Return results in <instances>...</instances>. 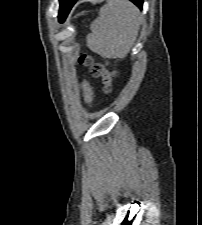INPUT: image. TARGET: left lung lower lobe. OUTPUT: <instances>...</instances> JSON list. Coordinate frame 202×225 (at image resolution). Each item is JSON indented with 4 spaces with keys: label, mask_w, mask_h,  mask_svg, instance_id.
Instances as JSON below:
<instances>
[{
    "label": "left lung lower lobe",
    "mask_w": 202,
    "mask_h": 225,
    "mask_svg": "<svg viewBox=\"0 0 202 225\" xmlns=\"http://www.w3.org/2000/svg\"><path fill=\"white\" fill-rule=\"evenodd\" d=\"M135 5H137L140 9L142 8L143 0H130Z\"/></svg>",
    "instance_id": "obj_1"
}]
</instances>
